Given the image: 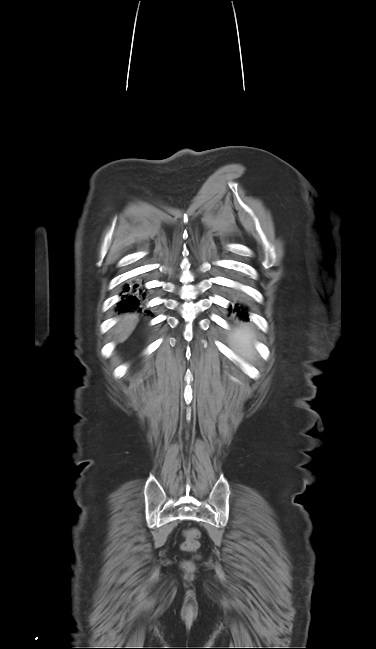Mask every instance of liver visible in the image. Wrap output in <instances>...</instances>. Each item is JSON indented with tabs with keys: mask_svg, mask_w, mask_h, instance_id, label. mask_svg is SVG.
Listing matches in <instances>:
<instances>
[{
	"mask_svg": "<svg viewBox=\"0 0 376 649\" xmlns=\"http://www.w3.org/2000/svg\"><path fill=\"white\" fill-rule=\"evenodd\" d=\"M138 315L136 313L124 314L121 321L114 330L115 341L124 342L136 327Z\"/></svg>",
	"mask_w": 376,
	"mask_h": 649,
	"instance_id": "1",
	"label": "liver"
}]
</instances>
